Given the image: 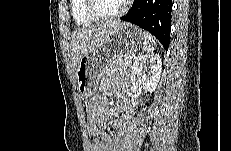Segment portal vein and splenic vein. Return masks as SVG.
Listing matches in <instances>:
<instances>
[{
  "mask_svg": "<svg viewBox=\"0 0 231 151\" xmlns=\"http://www.w3.org/2000/svg\"><path fill=\"white\" fill-rule=\"evenodd\" d=\"M126 59H127V60H131L132 57H131L130 55H127V56H126Z\"/></svg>",
  "mask_w": 231,
  "mask_h": 151,
  "instance_id": "portal-vein-and-splenic-vein-1",
  "label": "portal vein and splenic vein"
}]
</instances>
